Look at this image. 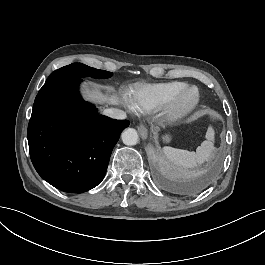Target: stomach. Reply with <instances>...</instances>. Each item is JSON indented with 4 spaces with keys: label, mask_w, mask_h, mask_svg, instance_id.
<instances>
[{
    "label": "stomach",
    "mask_w": 265,
    "mask_h": 265,
    "mask_svg": "<svg viewBox=\"0 0 265 265\" xmlns=\"http://www.w3.org/2000/svg\"><path fill=\"white\" fill-rule=\"evenodd\" d=\"M163 141H164L165 143H169V142L171 141V136H170V135H164V136H163Z\"/></svg>",
    "instance_id": "1"
}]
</instances>
